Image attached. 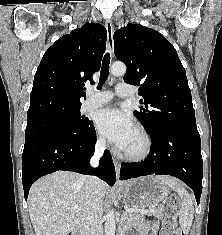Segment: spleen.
<instances>
[{"instance_id": "3e777b00", "label": "spleen", "mask_w": 222, "mask_h": 235, "mask_svg": "<svg viewBox=\"0 0 222 235\" xmlns=\"http://www.w3.org/2000/svg\"><path fill=\"white\" fill-rule=\"evenodd\" d=\"M157 179L163 184L175 190L182 200V206L179 210V224L184 233H188L194 217L193 202L183 186L175 179L168 176H158Z\"/></svg>"}]
</instances>
